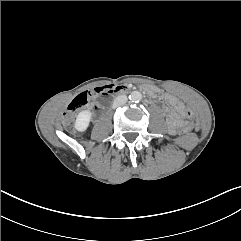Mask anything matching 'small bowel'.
I'll use <instances>...</instances> for the list:
<instances>
[{
    "mask_svg": "<svg viewBox=\"0 0 241 241\" xmlns=\"http://www.w3.org/2000/svg\"><path fill=\"white\" fill-rule=\"evenodd\" d=\"M169 103L173 107V111L168 116V126L171 133H174L177 127L184 126L186 121L184 120L185 107L184 104L175 97H168Z\"/></svg>",
    "mask_w": 241,
    "mask_h": 241,
    "instance_id": "obj_1",
    "label": "small bowel"
}]
</instances>
